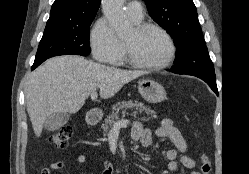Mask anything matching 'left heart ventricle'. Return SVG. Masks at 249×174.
Wrapping results in <instances>:
<instances>
[{"instance_id":"b2bd125f","label":"left heart ventricle","mask_w":249,"mask_h":174,"mask_svg":"<svg viewBox=\"0 0 249 174\" xmlns=\"http://www.w3.org/2000/svg\"><path fill=\"white\" fill-rule=\"evenodd\" d=\"M124 43L131 54L139 61L149 64L164 62L171 53V46L166 37L157 30L137 34L136 30L124 38Z\"/></svg>"}]
</instances>
